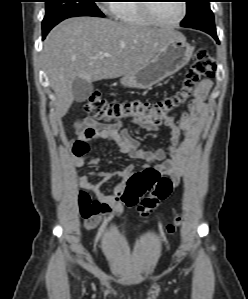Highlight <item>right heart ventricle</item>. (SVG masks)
Returning a JSON list of instances; mask_svg holds the SVG:
<instances>
[{"label": "right heart ventricle", "mask_w": 248, "mask_h": 299, "mask_svg": "<svg viewBox=\"0 0 248 299\" xmlns=\"http://www.w3.org/2000/svg\"><path fill=\"white\" fill-rule=\"evenodd\" d=\"M135 0H123L110 5L114 17L122 24L130 26H152L151 22L144 13L142 4Z\"/></svg>", "instance_id": "right-heart-ventricle-1"}]
</instances>
